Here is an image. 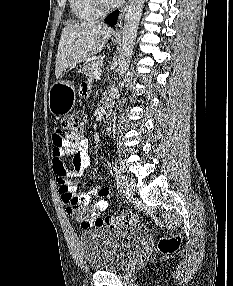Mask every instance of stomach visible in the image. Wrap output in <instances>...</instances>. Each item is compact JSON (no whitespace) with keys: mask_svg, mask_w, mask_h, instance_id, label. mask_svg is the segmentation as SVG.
<instances>
[{"mask_svg":"<svg viewBox=\"0 0 233 286\" xmlns=\"http://www.w3.org/2000/svg\"><path fill=\"white\" fill-rule=\"evenodd\" d=\"M48 96L50 112L57 117L67 114L74 105L73 85L62 76L50 87Z\"/></svg>","mask_w":233,"mask_h":286,"instance_id":"obj_1","label":"stomach"}]
</instances>
